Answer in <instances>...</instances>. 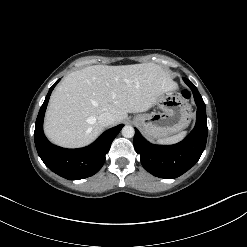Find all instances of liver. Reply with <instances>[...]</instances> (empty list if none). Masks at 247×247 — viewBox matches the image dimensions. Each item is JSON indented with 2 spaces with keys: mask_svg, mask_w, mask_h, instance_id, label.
Segmentation results:
<instances>
[{
  "mask_svg": "<svg viewBox=\"0 0 247 247\" xmlns=\"http://www.w3.org/2000/svg\"><path fill=\"white\" fill-rule=\"evenodd\" d=\"M174 90L168 73L154 63L89 66L68 74L56 87L44 131L57 145L83 147L102 132L100 114H113L118 124L128 113L145 112L161 93Z\"/></svg>",
  "mask_w": 247,
  "mask_h": 247,
  "instance_id": "liver-1",
  "label": "liver"
}]
</instances>
